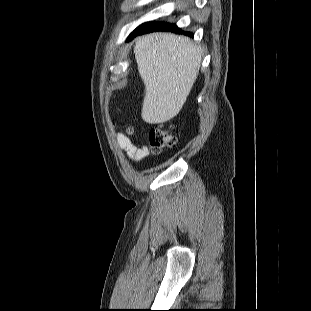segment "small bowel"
I'll return each instance as SVG.
<instances>
[{
	"label": "small bowel",
	"mask_w": 311,
	"mask_h": 311,
	"mask_svg": "<svg viewBox=\"0 0 311 311\" xmlns=\"http://www.w3.org/2000/svg\"><path fill=\"white\" fill-rule=\"evenodd\" d=\"M116 140L118 146L125 151L127 158L132 162L143 160L149 153L146 146H137L123 133H118Z\"/></svg>",
	"instance_id": "c3829d8e"
}]
</instances>
